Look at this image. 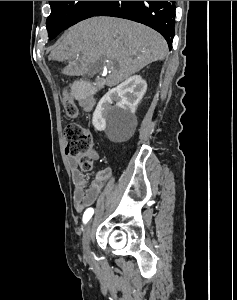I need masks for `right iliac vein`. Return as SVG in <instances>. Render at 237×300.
Wrapping results in <instances>:
<instances>
[{
	"instance_id": "obj_1",
	"label": "right iliac vein",
	"mask_w": 237,
	"mask_h": 300,
	"mask_svg": "<svg viewBox=\"0 0 237 300\" xmlns=\"http://www.w3.org/2000/svg\"><path fill=\"white\" fill-rule=\"evenodd\" d=\"M90 243H91V223L89 222L85 228V232L83 235V247L85 253L90 252Z\"/></svg>"
}]
</instances>
